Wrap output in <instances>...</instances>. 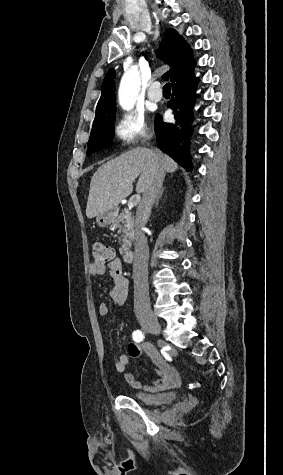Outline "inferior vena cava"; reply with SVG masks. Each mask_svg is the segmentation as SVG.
Wrapping results in <instances>:
<instances>
[{"mask_svg":"<svg viewBox=\"0 0 283 475\" xmlns=\"http://www.w3.org/2000/svg\"><path fill=\"white\" fill-rule=\"evenodd\" d=\"M155 168L147 182L143 198L136 212L135 251L133 261L134 309L135 313L151 311L148 285L149 247L143 228L151 214L152 206L158 198L164 180V170L159 158L154 160Z\"/></svg>","mask_w":283,"mask_h":475,"instance_id":"602c4592","label":"inferior vena cava"}]
</instances>
